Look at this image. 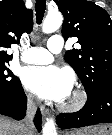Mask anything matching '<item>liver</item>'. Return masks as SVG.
I'll return each instance as SVG.
<instances>
[{"label":"liver","mask_w":112,"mask_h":135,"mask_svg":"<svg viewBox=\"0 0 112 135\" xmlns=\"http://www.w3.org/2000/svg\"><path fill=\"white\" fill-rule=\"evenodd\" d=\"M0 135H23L20 123L0 115Z\"/></svg>","instance_id":"6515ba94"}]
</instances>
